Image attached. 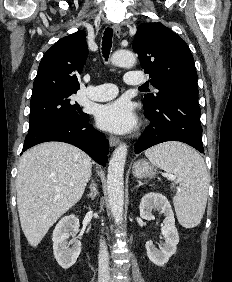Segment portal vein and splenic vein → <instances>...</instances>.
Listing matches in <instances>:
<instances>
[{"label": "portal vein and splenic vein", "instance_id": "1", "mask_svg": "<svg viewBox=\"0 0 232 282\" xmlns=\"http://www.w3.org/2000/svg\"><path fill=\"white\" fill-rule=\"evenodd\" d=\"M168 177H169L170 179H174V178H175L173 175H168Z\"/></svg>", "mask_w": 232, "mask_h": 282}]
</instances>
